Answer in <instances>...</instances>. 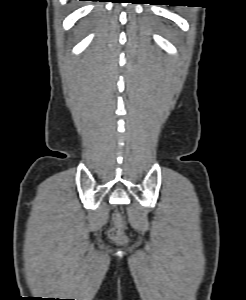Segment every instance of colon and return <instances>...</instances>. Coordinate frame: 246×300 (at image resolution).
Instances as JSON below:
<instances>
[{
    "label": "colon",
    "mask_w": 246,
    "mask_h": 300,
    "mask_svg": "<svg viewBox=\"0 0 246 300\" xmlns=\"http://www.w3.org/2000/svg\"><path fill=\"white\" fill-rule=\"evenodd\" d=\"M124 221L119 212L114 214V225L109 229V238L115 242H123L125 239L124 235Z\"/></svg>",
    "instance_id": "colon-1"
}]
</instances>
